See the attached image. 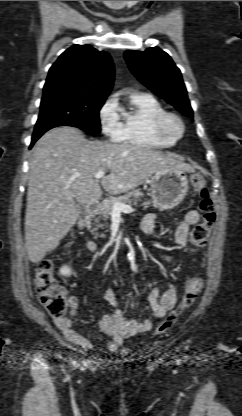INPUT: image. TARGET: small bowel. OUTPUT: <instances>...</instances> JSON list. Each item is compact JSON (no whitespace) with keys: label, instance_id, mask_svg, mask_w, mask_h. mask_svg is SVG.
Wrapping results in <instances>:
<instances>
[{"label":"small bowel","instance_id":"small-bowel-1","mask_svg":"<svg viewBox=\"0 0 242 416\" xmlns=\"http://www.w3.org/2000/svg\"><path fill=\"white\" fill-rule=\"evenodd\" d=\"M158 215L156 213L147 214L142 222V230L149 236L156 235L155 224ZM200 220V214L196 210L187 212L184 219L177 225L174 233V242L178 249H182L187 244L188 233L191 226ZM163 259L171 263L174 267V277L178 276L180 263L177 257L164 255ZM104 299L112 306L110 313L103 314L100 320V332L109 338L105 350L109 352L116 351L125 339L148 332L153 326L154 318H162L173 308L177 300V286L173 282L167 289L161 293L158 287H154L148 296L150 304V317L141 322L127 320L123 316L119 301L114 290L108 287L104 290ZM78 312V302L71 300V314L76 315ZM54 322L64 337L70 343L81 347L85 350H92L93 343L80 335L73 327L69 318H54Z\"/></svg>","mask_w":242,"mask_h":416}]
</instances>
